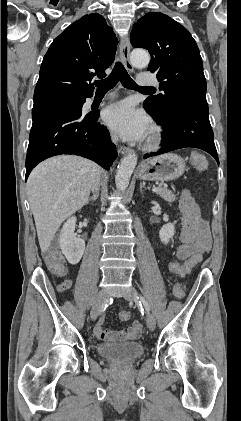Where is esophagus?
Masks as SVG:
<instances>
[{"label": "esophagus", "instance_id": "1", "mask_svg": "<svg viewBox=\"0 0 241 421\" xmlns=\"http://www.w3.org/2000/svg\"><path fill=\"white\" fill-rule=\"evenodd\" d=\"M119 49H120V57H121V60L124 64V66L126 67V69L129 72H133L134 68H133V66L130 62V58H129V56H130V42H129V38L127 36L123 37L120 40ZM119 152L121 154H129V153L132 152V149H130L128 147H125V146H121L119 148Z\"/></svg>", "mask_w": 241, "mask_h": 421}]
</instances>
